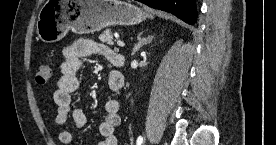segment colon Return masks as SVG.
Listing matches in <instances>:
<instances>
[{"label":"colon","mask_w":276,"mask_h":145,"mask_svg":"<svg viewBox=\"0 0 276 145\" xmlns=\"http://www.w3.org/2000/svg\"><path fill=\"white\" fill-rule=\"evenodd\" d=\"M52 76L51 68L46 63H39L36 66L35 80L38 84H47Z\"/></svg>","instance_id":"obj_1"}]
</instances>
